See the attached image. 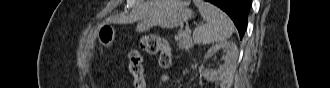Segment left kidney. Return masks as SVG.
I'll list each match as a JSON object with an SVG mask.
<instances>
[{"instance_id":"1","label":"left kidney","mask_w":330,"mask_h":88,"mask_svg":"<svg viewBox=\"0 0 330 88\" xmlns=\"http://www.w3.org/2000/svg\"><path fill=\"white\" fill-rule=\"evenodd\" d=\"M225 52V62L218 69H208L203 73L204 78L209 82H215L223 79L235 66L238 50L235 43L232 41H224L212 46L205 54V59H209L218 51Z\"/></svg>"}]
</instances>
